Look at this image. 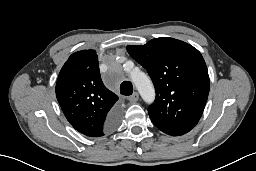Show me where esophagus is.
<instances>
[{
  "mask_svg": "<svg viewBox=\"0 0 256 171\" xmlns=\"http://www.w3.org/2000/svg\"><path fill=\"white\" fill-rule=\"evenodd\" d=\"M139 99V94L137 92H134L129 98L128 100L132 103L137 102Z\"/></svg>",
  "mask_w": 256,
  "mask_h": 171,
  "instance_id": "esophagus-1",
  "label": "esophagus"
}]
</instances>
